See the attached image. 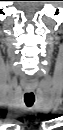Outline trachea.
I'll list each match as a JSON object with an SVG mask.
<instances>
[{
  "label": "trachea",
  "mask_w": 63,
  "mask_h": 130,
  "mask_svg": "<svg viewBox=\"0 0 63 130\" xmlns=\"http://www.w3.org/2000/svg\"><path fill=\"white\" fill-rule=\"evenodd\" d=\"M24 101H25V104L28 106V107H31L34 102H35V96L33 93H25L24 95Z\"/></svg>",
  "instance_id": "1"
}]
</instances>
